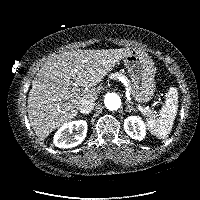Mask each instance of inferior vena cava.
<instances>
[{
	"label": "inferior vena cava",
	"instance_id": "inferior-vena-cava-1",
	"mask_svg": "<svg viewBox=\"0 0 200 200\" xmlns=\"http://www.w3.org/2000/svg\"><path fill=\"white\" fill-rule=\"evenodd\" d=\"M94 106H95V101L93 99H85L82 101L79 107V111L82 114H88L93 110Z\"/></svg>",
	"mask_w": 200,
	"mask_h": 200
}]
</instances>
